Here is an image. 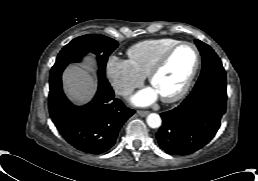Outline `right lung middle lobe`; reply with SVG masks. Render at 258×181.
<instances>
[{
  "instance_id": "obj_1",
  "label": "right lung middle lobe",
  "mask_w": 258,
  "mask_h": 181,
  "mask_svg": "<svg viewBox=\"0 0 258 181\" xmlns=\"http://www.w3.org/2000/svg\"><path fill=\"white\" fill-rule=\"evenodd\" d=\"M118 47V42L107 36L87 34L73 39L63 47L57 56L56 63L67 65L79 62L87 53L96 55L99 66V77L105 75L108 56Z\"/></svg>"
}]
</instances>
